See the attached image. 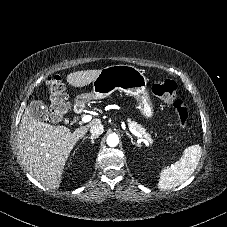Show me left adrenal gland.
<instances>
[{
	"instance_id": "left-adrenal-gland-1",
	"label": "left adrenal gland",
	"mask_w": 227,
	"mask_h": 227,
	"mask_svg": "<svg viewBox=\"0 0 227 227\" xmlns=\"http://www.w3.org/2000/svg\"><path fill=\"white\" fill-rule=\"evenodd\" d=\"M126 134H127V136L131 139L132 145L139 146L137 143H135V142L133 141L132 136H131L128 132H127Z\"/></svg>"
}]
</instances>
